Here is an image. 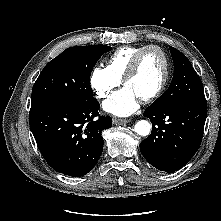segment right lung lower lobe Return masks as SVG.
Wrapping results in <instances>:
<instances>
[{"label":"right lung lower lobe","mask_w":221,"mask_h":221,"mask_svg":"<svg viewBox=\"0 0 221 221\" xmlns=\"http://www.w3.org/2000/svg\"><path fill=\"white\" fill-rule=\"evenodd\" d=\"M99 107L95 98L31 107L30 128L42 156L54 170L80 177L95 166L103 151L102 131L112 126L111 117L99 116Z\"/></svg>","instance_id":"right-lung-lower-lobe-1"}]
</instances>
